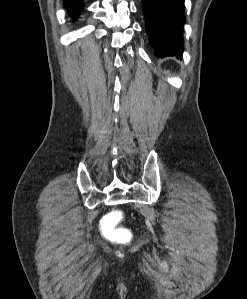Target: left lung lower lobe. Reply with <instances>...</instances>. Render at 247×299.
I'll use <instances>...</instances> for the list:
<instances>
[{
    "label": "left lung lower lobe",
    "mask_w": 247,
    "mask_h": 299,
    "mask_svg": "<svg viewBox=\"0 0 247 299\" xmlns=\"http://www.w3.org/2000/svg\"><path fill=\"white\" fill-rule=\"evenodd\" d=\"M146 31L158 57L183 53L184 0H142Z\"/></svg>",
    "instance_id": "0a47b994"
}]
</instances>
